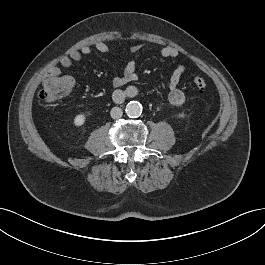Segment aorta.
I'll return each mask as SVG.
<instances>
[{
  "label": "aorta",
  "instance_id": "aorta-1",
  "mask_svg": "<svg viewBox=\"0 0 265 265\" xmlns=\"http://www.w3.org/2000/svg\"><path fill=\"white\" fill-rule=\"evenodd\" d=\"M125 111L129 117H138L142 113V106L139 102L131 101L126 105Z\"/></svg>",
  "mask_w": 265,
  "mask_h": 265
}]
</instances>
